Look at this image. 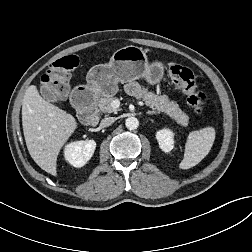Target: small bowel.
<instances>
[{"label":"small bowel","instance_id":"obj_1","mask_svg":"<svg viewBox=\"0 0 252 252\" xmlns=\"http://www.w3.org/2000/svg\"><path fill=\"white\" fill-rule=\"evenodd\" d=\"M129 89H130L131 91H136V90H137L136 86H134V85L130 86Z\"/></svg>","mask_w":252,"mask_h":252}]
</instances>
